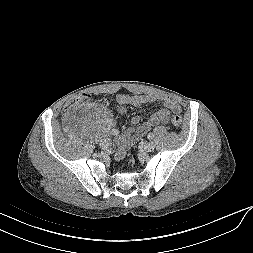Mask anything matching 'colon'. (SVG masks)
I'll use <instances>...</instances> for the list:
<instances>
[{"label": "colon", "instance_id": "obj_1", "mask_svg": "<svg viewBox=\"0 0 253 253\" xmlns=\"http://www.w3.org/2000/svg\"><path fill=\"white\" fill-rule=\"evenodd\" d=\"M88 98L87 95H83L80 97H77L76 99H74L73 101H71L69 104H67L66 106V110L68 112H72L77 106L80 105V103L85 99ZM171 122L175 127H180L183 123V119L180 115L175 114L171 117Z\"/></svg>", "mask_w": 253, "mask_h": 253}]
</instances>
